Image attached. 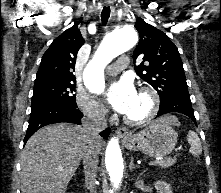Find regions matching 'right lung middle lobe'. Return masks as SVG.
Returning a JSON list of instances; mask_svg holds the SVG:
<instances>
[{
  "label": "right lung middle lobe",
  "mask_w": 221,
  "mask_h": 193,
  "mask_svg": "<svg viewBox=\"0 0 221 193\" xmlns=\"http://www.w3.org/2000/svg\"><path fill=\"white\" fill-rule=\"evenodd\" d=\"M75 82H50L34 85L31 109L53 104L77 106Z\"/></svg>",
  "instance_id": "1"
}]
</instances>
